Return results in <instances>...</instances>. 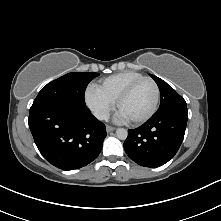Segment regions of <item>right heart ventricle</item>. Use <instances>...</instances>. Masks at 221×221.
Returning <instances> with one entry per match:
<instances>
[{"label":"right heart ventricle","mask_w":221,"mask_h":221,"mask_svg":"<svg viewBox=\"0 0 221 221\" xmlns=\"http://www.w3.org/2000/svg\"><path fill=\"white\" fill-rule=\"evenodd\" d=\"M141 77L143 75L139 72L125 71L102 79L96 88L112 102H116L124 89Z\"/></svg>","instance_id":"right-heart-ventricle-1"}]
</instances>
